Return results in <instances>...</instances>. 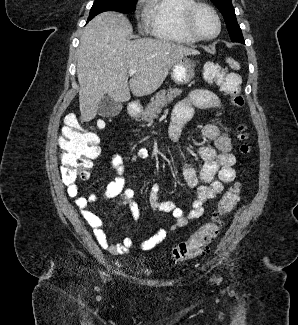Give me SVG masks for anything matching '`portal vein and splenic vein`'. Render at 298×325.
Listing matches in <instances>:
<instances>
[{"mask_svg":"<svg viewBox=\"0 0 298 325\" xmlns=\"http://www.w3.org/2000/svg\"><path fill=\"white\" fill-rule=\"evenodd\" d=\"M135 72H136V68H129L128 70V74H131V76L132 74H135Z\"/></svg>","mask_w":298,"mask_h":325,"instance_id":"18ae733b","label":"portal vein and splenic vein"}]
</instances>
